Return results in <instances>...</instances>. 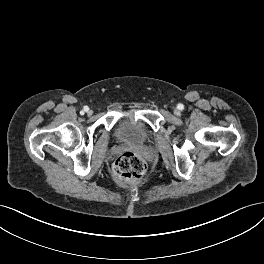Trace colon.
<instances>
[{
	"instance_id": "5ec220e1",
	"label": "colon",
	"mask_w": 264,
	"mask_h": 264,
	"mask_svg": "<svg viewBox=\"0 0 264 264\" xmlns=\"http://www.w3.org/2000/svg\"><path fill=\"white\" fill-rule=\"evenodd\" d=\"M113 171L119 180L134 183L141 180L145 174L146 163L138 154L125 152L115 160Z\"/></svg>"
}]
</instances>
